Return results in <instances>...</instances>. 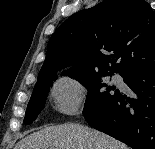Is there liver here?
<instances>
[{"label":"liver","mask_w":155,"mask_h":149,"mask_svg":"<svg viewBox=\"0 0 155 149\" xmlns=\"http://www.w3.org/2000/svg\"><path fill=\"white\" fill-rule=\"evenodd\" d=\"M15 149H128L118 140L89 127L67 123L49 126L20 140Z\"/></svg>","instance_id":"liver-1"}]
</instances>
